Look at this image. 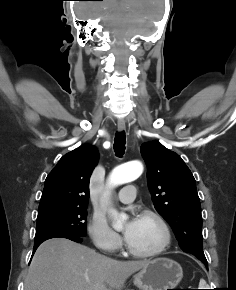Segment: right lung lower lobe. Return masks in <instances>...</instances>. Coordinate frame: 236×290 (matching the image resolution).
I'll return each mask as SVG.
<instances>
[{
  "mask_svg": "<svg viewBox=\"0 0 236 290\" xmlns=\"http://www.w3.org/2000/svg\"><path fill=\"white\" fill-rule=\"evenodd\" d=\"M62 238H67L70 239L72 241L81 243L82 242V238L81 237H65V236H61ZM45 241V240H43ZM43 241H39V242H34V249L33 252H35V250L37 249V247L43 242Z\"/></svg>",
  "mask_w": 236,
  "mask_h": 290,
  "instance_id": "1",
  "label": "right lung lower lobe"
}]
</instances>
